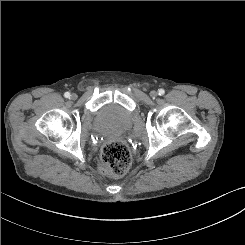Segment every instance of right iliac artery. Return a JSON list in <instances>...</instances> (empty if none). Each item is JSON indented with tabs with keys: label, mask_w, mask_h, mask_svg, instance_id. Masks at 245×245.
Instances as JSON below:
<instances>
[{
	"label": "right iliac artery",
	"mask_w": 245,
	"mask_h": 245,
	"mask_svg": "<svg viewBox=\"0 0 245 245\" xmlns=\"http://www.w3.org/2000/svg\"><path fill=\"white\" fill-rule=\"evenodd\" d=\"M64 96H65L66 98H69V97H70V93H69V92H66V93L64 94Z\"/></svg>",
	"instance_id": "82829eb1"
}]
</instances>
